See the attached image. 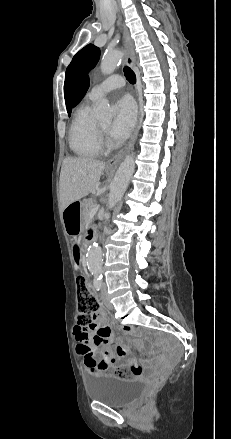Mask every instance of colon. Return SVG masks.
<instances>
[{"label":"colon","mask_w":231,"mask_h":439,"mask_svg":"<svg viewBox=\"0 0 231 439\" xmlns=\"http://www.w3.org/2000/svg\"><path fill=\"white\" fill-rule=\"evenodd\" d=\"M76 288L78 295V321L79 324L84 327H89L93 320L95 313L99 308V301L93 292L90 290L87 280L84 276L80 275L76 278ZM124 333H132L135 329L131 326H123L121 329ZM87 367L92 371H101L102 367L100 364L95 363L90 358L86 361ZM141 371L139 365H133L130 370L120 369L116 372V375L120 378H125L129 374L137 375ZM166 374H161L152 380L150 387L144 393L143 398L149 399L155 388H157L165 379Z\"/></svg>","instance_id":"colon-1"}]
</instances>
